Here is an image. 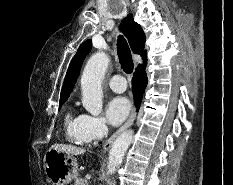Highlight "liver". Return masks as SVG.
<instances>
[{
  "instance_id": "obj_1",
  "label": "liver",
  "mask_w": 233,
  "mask_h": 185,
  "mask_svg": "<svg viewBox=\"0 0 233 185\" xmlns=\"http://www.w3.org/2000/svg\"><path fill=\"white\" fill-rule=\"evenodd\" d=\"M52 149H56L59 152L67 153L71 156H77L82 155L86 152L84 148H79L72 145H66V144H54L51 146Z\"/></svg>"
}]
</instances>
